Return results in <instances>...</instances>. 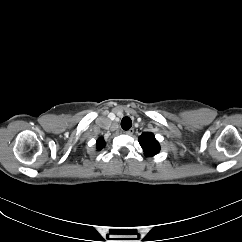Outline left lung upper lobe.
<instances>
[{"label": "left lung upper lobe", "mask_w": 242, "mask_h": 242, "mask_svg": "<svg viewBox=\"0 0 242 242\" xmlns=\"http://www.w3.org/2000/svg\"><path fill=\"white\" fill-rule=\"evenodd\" d=\"M139 144L146 156H154L160 151V145L151 132H144L139 136Z\"/></svg>", "instance_id": "1"}]
</instances>
